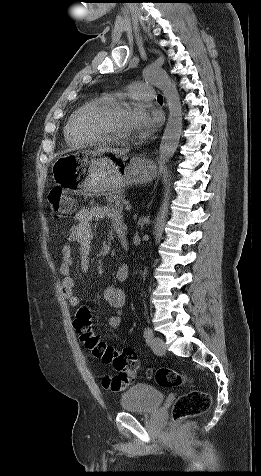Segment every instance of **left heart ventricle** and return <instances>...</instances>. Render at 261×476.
I'll return each instance as SVG.
<instances>
[{
	"label": "left heart ventricle",
	"instance_id": "b2bd125f",
	"mask_svg": "<svg viewBox=\"0 0 261 476\" xmlns=\"http://www.w3.org/2000/svg\"><path fill=\"white\" fill-rule=\"evenodd\" d=\"M130 109H123L108 116L105 120L106 126L118 135L130 136L132 134L129 123Z\"/></svg>",
	"mask_w": 261,
	"mask_h": 476
}]
</instances>
